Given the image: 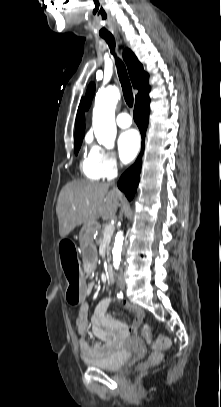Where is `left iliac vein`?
<instances>
[{
    "label": "left iliac vein",
    "mask_w": 221,
    "mask_h": 407,
    "mask_svg": "<svg viewBox=\"0 0 221 407\" xmlns=\"http://www.w3.org/2000/svg\"><path fill=\"white\" fill-rule=\"evenodd\" d=\"M120 288H121V289H124V284H122V285L120 286Z\"/></svg>",
    "instance_id": "4c4485c4"
}]
</instances>
